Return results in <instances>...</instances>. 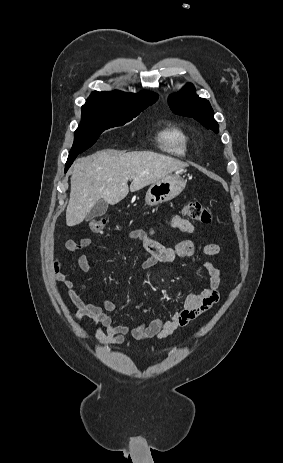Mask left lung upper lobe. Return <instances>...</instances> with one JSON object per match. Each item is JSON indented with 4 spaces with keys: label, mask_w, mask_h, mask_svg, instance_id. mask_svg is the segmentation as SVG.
<instances>
[{
    "label": "left lung upper lobe",
    "mask_w": 283,
    "mask_h": 463,
    "mask_svg": "<svg viewBox=\"0 0 283 463\" xmlns=\"http://www.w3.org/2000/svg\"><path fill=\"white\" fill-rule=\"evenodd\" d=\"M194 90V86L188 83L185 91L170 95L168 102L172 111L176 114L193 117L207 129L218 133L219 125L214 119V112L209 101L197 96Z\"/></svg>",
    "instance_id": "left-lung-upper-lobe-1"
}]
</instances>
